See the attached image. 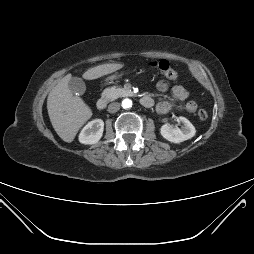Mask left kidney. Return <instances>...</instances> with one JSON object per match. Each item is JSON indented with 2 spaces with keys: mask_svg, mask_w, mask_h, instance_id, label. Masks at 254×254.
<instances>
[{
  "mask_svg": "<svg viewBox=\"0 0 254 254\" xmlns=\"http://www.w3.org/2000/svg\"><path fill=\"white\" fill-rule=\"evenodd\" d=\"M178 120L182 123L180 128L164 124L160 129L163 138L173 143H181L191 139L196 133L195 127L187 118L179 117Z\"/></svg>",
  "mask_w": 254,
  "mask_h": 254,
  "instance_id": "5707ae66",
  "label": "left kidney"
}]
</instances>
